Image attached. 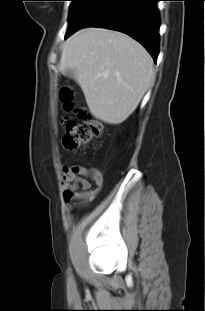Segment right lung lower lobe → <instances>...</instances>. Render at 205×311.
Instances as JSON below:
<instances>
[{
  "label": "right lung lower lobe",
  "mask_w": 205,
  "mask_h": 311,
  "mask_svg": "<svg viewBox=\"0 0 205 311\" xmlns=\"http://www.w3.org/2000/svg\"><path fill=\"white\" fill-rule=\"evenodd\" d=\"M159 0H89L67 38L84 27L124 32L140 42L156 61L159 52Z\"/></svg>",
  "instance_id": "1"
}]
</instances>
